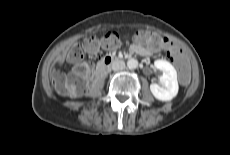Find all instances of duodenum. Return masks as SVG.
<instances>
[{
	"label": "duodenum",
	"mask_w": 230,
	"mask_h": 155,
	"mask_svg": "<svg viewBox=\"0 0 230 155\" xmlns=\"http://www.w3.org/2000/svg\"><path fill=\"white\" fill-rule=\"evenodd\" d=\"M122 58L113 55H105L97 64L95 69V76L101 75L113 63L119 62Z\"/></svg>",
	"instance_id": "obj_1"
}]
</instances>
